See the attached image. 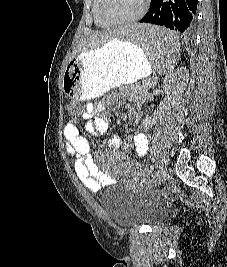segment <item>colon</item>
Instances as JSON below:
<instances>
[{
  "label": "colon",
  "instance_id": "colon-1",
  "mask_svg": "<svg viewBox=\"0 0 227 267\" xmlns=\"http://www.w3.org/2000/svg\"><path fill=\"white\" fill-rule=\"evenodd\" d=\"M80 109H81L80 105H76L75 103H72L71 105L67 106V111L64 112V115L65 116H77L76 110H80Z\"/></svg>",
  "mask_w": 227,
  "mask_h": 267
}]
</instances>
